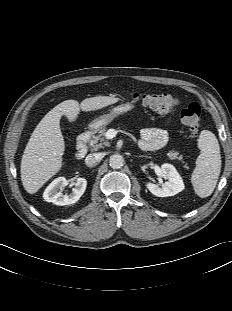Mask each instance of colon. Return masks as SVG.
<instances>
[{
	"label": "colon",
	"instance_id": "1",
	"mask_svg": "<svg viewBox=\"0 0 232 311\" xmlns=\"http://www.w3.org/2000/svg\"><path fill=\"white\" fill-rule=\"evenodd\" d=\"M132 100L158 113L172 112L178 106V101L166 93H134ZM200 116L201 109L197 103H190L181 111V119L192 137L198 135Z\"/></svg>",
	"mask_w": 232,
	"mask_h": 311
}]
</instances>
